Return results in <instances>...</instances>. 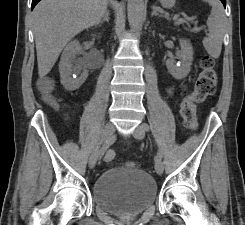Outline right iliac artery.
I'll return each instance as SVG.
<instances>
[{"label": "right iliac artery", "mask_w": 245, "mask_h": 225, "mask_svg": "<svg viewBox=\"0 0 245 225\" xmlns=\"http://www.w3.org/2000/svg\"><path fill=\"white\" fill-rule=\"evenodd\" d=\"M116 140V137L113 135L111 138H109L108 140H106L102 146V151H101V155H100V159L103 157L104 153H105V150L115 142Z\"/></svg>", "instance_id": "right-iliac-artery-1"}]
</instances>
